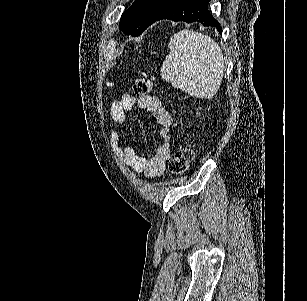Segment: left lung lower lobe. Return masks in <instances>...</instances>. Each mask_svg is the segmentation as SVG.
Listing matches in <instances>:
<instances>
[{"mask_svg": "<svg viewBox=\"0 0 307 301\" xmlns=\"http://www.w3.org/2000/svg\"><path fill=\"white\" fill-rule=\"evenodd\" d=\"M210 0H179L162 13L155 21L170 19L187 23L200 22L203 26H214L222 33L221 26L208 10Z\"/></svg>", "mask_w": 307, "mask_h": 301, "instance_id": "0a47b994", "label": "left lung lower lobe"}]
</instances>
